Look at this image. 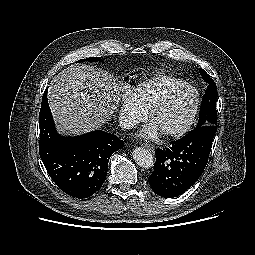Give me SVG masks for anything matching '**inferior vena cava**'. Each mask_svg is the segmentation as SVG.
<instances>
[{
    "label": "inferior vena cava",
    "mask_w": 255,
    "mask_h": 255,
    "mask_svg": "<svg viewBox=\"0 0 255 255\" xmlns=\"http://www.w3.org/2000/svg\"><path fill=\"white\" fill-rule=\"evenodd\" d=\"M135 124H136L135 120L131 119L129 116L123 114L120 115L119 117L120 127L124 129H131L135 126Z\"/></svg>",
    "instance_id": "1"
}]
</instances>
